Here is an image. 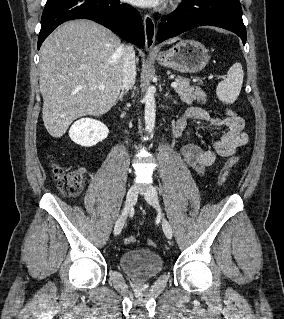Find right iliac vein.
I'll return each mask as SVG.
<instances>
[{
    "instance_id": "1",
    "label": "right iliac vein",
    "mask_w": 284,
    "mask_h": 319,
    "mask_svg": "<svg viewBox=\"0 0 284 319\" xmlns=\"http://www.w3.org/2000/svg\"><path fill=\"white\" fill-rule=\"evenodd\" d=\"M136 199H137V186L132 185L127 192L124 209L115 223V226H114V235L115 236L120 234V232L124 226L127 214L129 212L131 206L135 203Z\"/></svg>"
}]
</instances>
